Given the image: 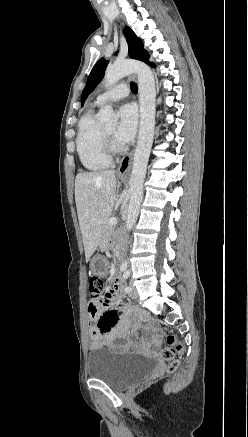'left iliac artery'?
<instances>
[{
  "label": "left iliac artery",
  "instance_id": "1",
  "mask_svg": "<svg viewBox=\"0 0 248 437\" xmlns=\"http://www.w3.org/2000/svg\"><path fill=\"white\" fill-rule=\"evenodd\" d=\"M129 275H130L129 271H126V272L123 274V279L126 280V279L129 277ZM124 291H125L126 293H129V292L131 291V287H130V286H126V287L124 288Z\"/></svg>",
  "mask_w": 248,
  "mask_h": 437
}]
</instances>
